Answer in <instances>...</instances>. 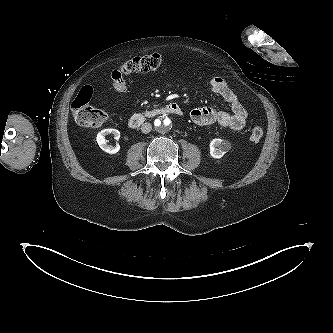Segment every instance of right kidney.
Returning a JSON list of instances; mask_svg holds the SVG:
<instances>
[{"label":"right kidney","mask_w":333,"mask_h":333,"mask_svg":"<svg viewBox=\"0 0 333 333\" xmlns=\"http://www.w3.org/2000/svg\"><path fill=\"white\" fill-rule=\"evenodd\" d=\"M108 134H113L114 138L116 140H118L120 138V132L118 130H116V129H104V130L100 131L97 134L96 141H97L99 147L103 151H105L109 154H115L120 150V146L116 145L115 147H113V146L107 145L106 140H105V136L108 135Z\"/></svg>","instance_id":"obj_1"}]
</instances>
